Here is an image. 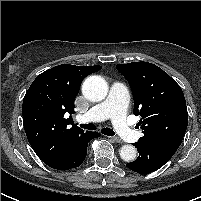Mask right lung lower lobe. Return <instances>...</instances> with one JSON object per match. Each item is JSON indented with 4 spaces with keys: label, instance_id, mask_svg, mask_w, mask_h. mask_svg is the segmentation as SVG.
Wrapping results in <instances>:
<instances>
[{
    "label": "right lung lower lobe",
    "instance_id": "obj_1",
    "mask_svg": "<svg viewBox=\"0 0 201 201\" xmlns=\"http://www.w3.org/2000/svg\"><path fill=\"white\" fill-rule=\"evenodd\" d=\"M96 137H99L97 132H84L63 156L45 164L57 170H68L80 166L86 157L88 142Z\"/></svg>",
    "mask_w": 201,
    "mask_h": 201
}]
</instances>
